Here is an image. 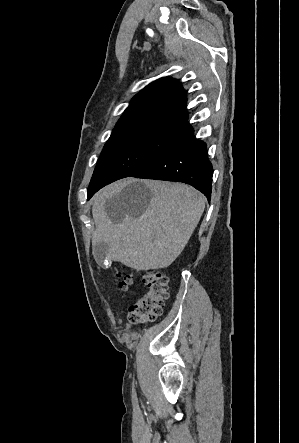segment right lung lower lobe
<instances>
[{
	"mask_svg": "<svg viewBox=\"0 0 299 443\" xmlns=\"http://www.w3.org/2000/svg\"><path fill=\"white\" fill-rule=\"evenodd\" d=\"M212 173L206 144L193 137V129L186 120L180 136L130 177L183 182L192 185L210 200Z\"/></svg>",
	"mask_w": 299,
	"mask_h": 443,
	"instance_id": "1",
	"label": "right lung lower lobe"
}]
</instances>
